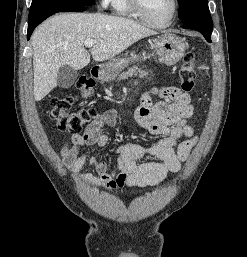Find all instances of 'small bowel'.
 Returning <instances> with one entry per match:
<instances>
[{"instance_id":"c3829d8e","label":"small bowel","mask_w":247,"mask_h":257,"mask_svg":"<svg viewBox=\"0 0 247 257\" xmlns=\"http://www.w3.org/2000/svg\"><path fill=\"white\" fill-rule=\"evenodd\" d=\"M153 96H159L162 100L153 104ZM192 115L193 106L188 92L176 87L151 88L141 96L135 117L143 128L163 138L150 145L135 142L119 145L116 149L117 165L109 170L106 162L89 158V149L104 147L109 143L104 127H114L117 123V112L106 109L91 121L84 133L72 134L60 154L75 174L89 162L96 175L84 173L80 178L93 185L109 189L157 185L169 173L180 170L181 164L188 159L196 145L197 138L188 122ZM183 137L187 139L181 141ZM83 147L88 149L82 151ZM144 158L152 160L142 161Z\"/></svg>"}]
</instances>
